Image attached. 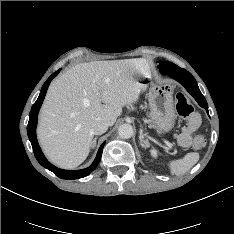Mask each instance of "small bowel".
I'll list each match as a JSON object with an SVG mask.
<instances>
[{"mask_svg": "<svg viewBox=\"0 0 234 234\" xmlns=\"http://www.w3.org/2000/svg\"><path fill=\"white\" fill-rule=\"evenodd\" d=\"M200 125V117L195 114V121L190 122L187 126L182 128L179 135V144L183 147H188L191 143L192 137Z\"/></svg>", "mask_w": 234, "mask_h": 234, "instance_id": "small-bowel-1", "label": "small bowel"}]
</instances>
